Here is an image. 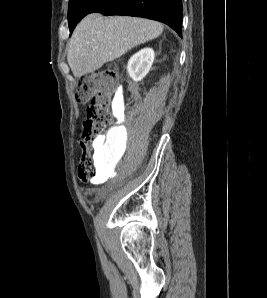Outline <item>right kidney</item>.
Here are the masks:
<instances>
[{"label": "right kidney", "instance_id": "ca27d5eb", "mask_svg": "<svg viewBox=\"0 0 267 298\" xmlns=\"http://www.w3.org/2000/svg\"><path fill=\"white\" fill-rule=\"evenodd\" d=\"M154 58V50L151 48H144L129 59L127 71L133 81H141L147 75L153 64Z\"/></svg>", "mask_w": 267, "mask_h": 298}]
</instances>
